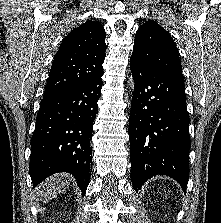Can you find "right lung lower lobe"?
I'll use <instances>...</instances> for the list:
<instances>
[{
  "instance_id": "98d812e1",
  "label": "right lung lower lobe",
  "mask_w": 221,
  "mask_h": 223,
  "mask_svg": "<svg viewBox=\"0 0 221 223\" xmlns=\"http://www.w3.org/2000/svg\"><path fill=\"white\" fill-rule=\"evenodd\" d=\"M102 74L77 87L43 97L31 139L29 168L34 187L54 173L68 172L85 194L92 168L90 138Z\"/></svg>"
}]
</instances>
